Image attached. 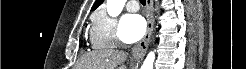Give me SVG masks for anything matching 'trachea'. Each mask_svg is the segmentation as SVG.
Segmentation results:
<instances>
[{"mask_svg": "<svg viewBox=\"0 0 246 69\" xmlns=\"http://www.w3.org/2000/svg\"><path fill=\"white\" fill-rule=\"evenodd\" d=\"M141 4L145 5L146 4V0H140Z\"/></svg>", "mask_w": 246, "mask_h": 69, "instance_id": "trachea-1", "label": "trachea"}]
</instances>
